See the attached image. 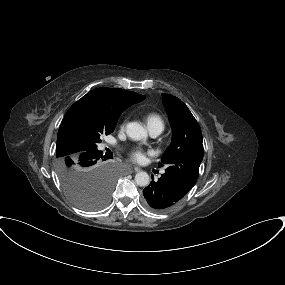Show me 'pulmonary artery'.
Instances as JSON below:
<instances>
[{
  "mask_svg": "<svg viewBox=\"0 0 285 285\" xmlns=\"http://www.w3.org/2000/svg\"><path fill=\"white\" fill-rule=\"evenodd\" d=\"M161 132H162L161 129H157V128L150 129V134L153 137L158 136ZM162 173H164V170L162 171Z\"/></svg>",
  "mask_w": 285,
  "mask_h": 285,
  "instance_id": "obj_1",
  "label": "pulmonary artery"
}]
</instances>
